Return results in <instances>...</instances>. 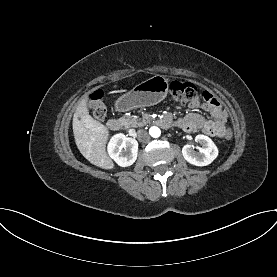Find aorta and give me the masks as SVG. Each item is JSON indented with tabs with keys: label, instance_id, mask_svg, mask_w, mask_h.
<instances>
[{
	"label": "aorta",
	"instance_id": "aorta-1",
	"mask_svg": "<svg viewBox=\"0 0 277 277\" xmlns=\"http://www.w3.org/2000/svg\"><path fill=\"white\" fill-rule=\"evenodd\" d=\"M149 133L152 137L157 138L161 135V131L158 127L153 126L149 129Z\"/></svg>",
	"mask_w": 277,
	"mask_h": 277
}]
</instances>
